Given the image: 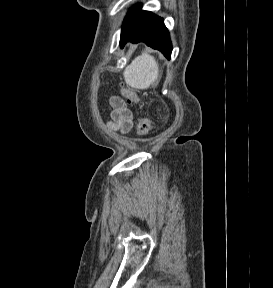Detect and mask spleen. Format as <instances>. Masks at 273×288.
Here are the masks:
<instances>
[{"label":"spleen","instance_id":"obj_1","mask_svg":"<svg viewBox=\"0 0 273 288\" xmlns=\"http://www.w3.org/2000/svg\"><path fill=\"white\" fill-rule=\"evenodd\" d=\"M126 84L134 89H147L158 82L159 66L155 58L147 53L136 57L124 72Z\"/></svg>","mask_w":273,"mask_h":288}]
</instances>
